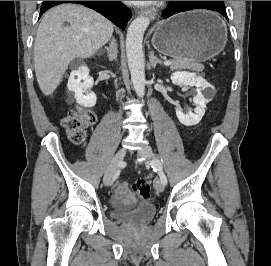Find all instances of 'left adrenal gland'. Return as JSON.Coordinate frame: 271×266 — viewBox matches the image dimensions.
Wrapping results in <instances>:
<instances>
[{"label":"left adrenal gland","mask_w":271,"mask_h":266,"mask_svg":"<svg viewBox=\"0 0 271 266\" xmlns=\"http://www.w3.org/2000/svg\"><path fill=\"white\" fill-rule=\"evenodd\" d=\"M149 64L151 65L152 68H156L157 64L163 65L162 61L159 60L155 55L154 51H150L149 54Z\"/></svg>","instance_id":"left-adrenal-gland-1"}]
</instances>
